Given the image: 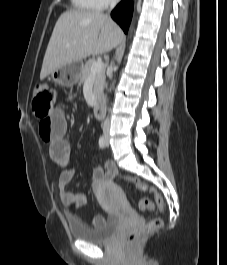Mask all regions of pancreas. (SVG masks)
I'll use <instances>...</instances> for the list:
<instances>
[{
  "mask_svg": "<svg viewBox=\"0 0 227 265\" xmlns=\"http://www.w3.org/2000/svg\"><path fill=\"white\" fill-rule=\"evenodd\" d=\"M95 62V59H90L82 67L80 82L84 83L89 77L94 76V96L98 97L102 93L105 86V69L102 68L99 72L92 75L91 67Z\"/></svg>",
  "mask_w": 227,
  "mask_h": 265,
  "instance_id": "obj_1",
  "label": "pancreas"
}]
</instances>
